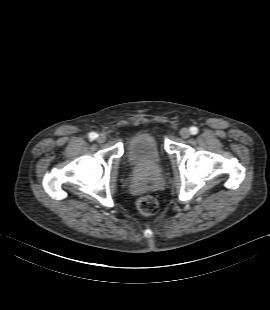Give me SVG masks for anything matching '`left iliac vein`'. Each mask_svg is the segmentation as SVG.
<instances>
[{
  "label": "left iliac vein",
  "mask_w": 270,
  "mask_h": 310,
  "mask_svg": "<svg viewBox=\"0 0 270 310\" xmlns=\"http://www.w3.org/2000/svg\"><path fill=\"white\" fill-rule=\"evenodd\" d=\"M191 135L190 133V130L188 128H182L180 130V136L183 138V139H187L189 138Z\"/></svg>",
  "instance_id": "4c4485c4"
}]
</instances>
